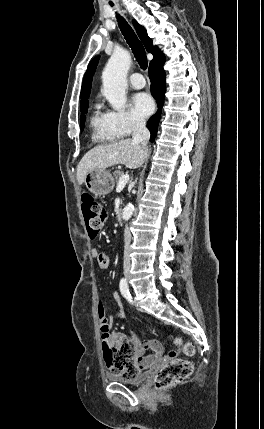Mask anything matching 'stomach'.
Masks as SVG:
<instances>
[{"label": "stomach", "mask_w": 264, "mask_h": 429, "mask_svg": "<svg viewBox=\"0 0 264 429\" xmlns=\"http://www.w3.org/2000/svg\"><path fill=\"white\" fill-rule=\"evenodd\" d=\"M87 189L95 196L109 194L114 188V179L106 169H94L87 173L85 178Z\"/></svg>", "instance_id": "0dacf381"}]
</instances>
